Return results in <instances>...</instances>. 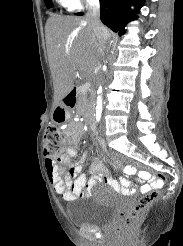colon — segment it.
<instances>
[{
    "mask_svg": "<svg viewBox=\"0 0 183 246\" xmlns=\"http://www.w3.org/2000/svg\"><path fill=\"white\" fill-rule=\"evenodd\" d=\"M57 121L61 122L65 119L64 110H58L57 113ZM63 145V135L60 130L54 126L49 125L46 128L44 135V150L47 154V157L59 161L60 158L58 156ZM110 154L116 158V160H122V162H126V165H130V167H136V169H143V172H151V175H157L158 186L155 187L150 193L141 197L136 205L129 211L123 212L120 218V224L118 229L129 228L132 227L141 215L156 201L161 194V187L163 182H169L170 178L168 174H162V170H154V167H147L145 162H135L133 157H129V155H121L120 152H117L116 149H110Z\"/></svg>",
    "mask_w": 183,
    "mask_h": 246,
    "instance_id": "1",
    "label": "colon"
}]
</instances>
